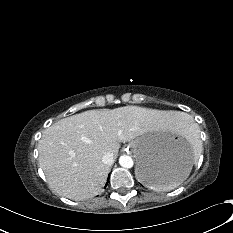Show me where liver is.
Instances as JSON below:
<instances>
[{
  "mask_svg": "<svg viewBox=\"0 0 233 233\" xmlns=\"http://www.w3.org/2000/svg\"><path fill=\"white\" fill-rule=\"evenodd\" d=\"M185 114L138 106L88 110L47 128L38 143L39 165L58 195L82 201L102 191L110 166L106 153L148 131L165 132Z\"/></svg>",
  "mask_w": 233,
  "mask_h": 233,
  "instance_id": "liver-1",
  "label": "liver"
}]
</instances>
